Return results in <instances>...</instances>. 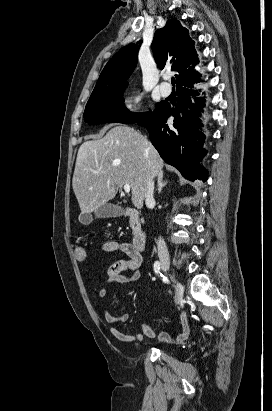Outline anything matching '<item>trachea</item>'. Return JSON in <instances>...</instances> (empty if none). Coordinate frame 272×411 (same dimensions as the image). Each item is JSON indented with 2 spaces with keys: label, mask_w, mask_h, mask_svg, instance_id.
I'll list each match as a JSON object with an SVG mask.
<instances>
[{
  "label": "trachea",
  "mask_w": 272,
  "mask_h": 411,
  "mask_svg": "<svg viewBox=\"0 0 272 411\" xmlns=\"http://www.w3.org/2000/svg\"><path fill=\"white\" fill-rule=\"evenodd\" d=\"M175 82H176V80H175V78L173 77V78L171 79V83H172L173 86L175 85Z\"/></svg>",
  "instance_id": "trachea-1"
}]
</instances>
